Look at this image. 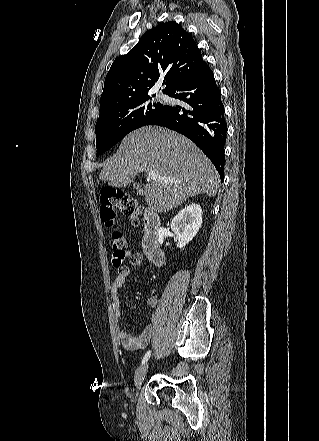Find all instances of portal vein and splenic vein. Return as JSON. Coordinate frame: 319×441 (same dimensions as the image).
Wrapping results in <instances>:
<instances>
[{
  "label": "portal vein and splenic vein",
  "mask_w": 319,
  "mask_h": 441,
  "mask_svg": "<svg viewBox=\"0 0 319 441\" xmlns=\"http://www.w3.org/2000/svg\"><path fill=\"white\" fill-rule=\"evenodd\" d=\"M148 179H152V180H157L158 179V180H160L161 182H164V183H169V182L180 183V181L175 179V178H167V177L160 176L159 172H157V171H150L148 173Z\"/></svg>",
  "instance_id": "18ae733b"
}]
</instances>
